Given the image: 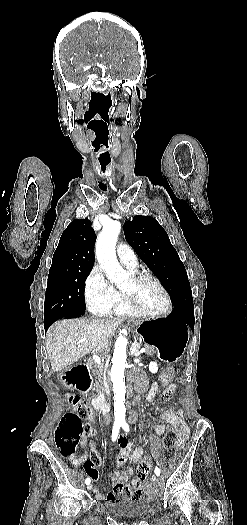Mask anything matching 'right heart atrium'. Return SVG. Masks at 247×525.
<instances>
[{"label": "right heart atrium", "mask_w": 247, "mask_h": 525, "mask_svg": "<svg viewBox=\"0 0 247 525\" xmlns=\"http://www.w3.org/2000/svg\"><path fill=\"white\" fill-rule=\"evenodd\" d=\"M116 292L102 269L94 266L85 280L84 298L88 310L97 316H104L114 306Z\"/></svg>", "instance_id": "obj_1"}]
</instances>
